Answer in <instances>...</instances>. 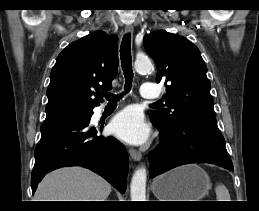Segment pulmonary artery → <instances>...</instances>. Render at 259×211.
<instances>
[{
	"instance_id": "pulmonary-artery-1",
	"label": "pulmonary artery",
	"mask_w": 259,
	"mask_h": 211,
	"mask_svg": "<svg viewBox=\"0 0 259 211\" xmlns=\"http://www.w3.org/2000/svg\"><path fill=\"white\" fill-rule=\"evenodd\" d=\"M141 96L145 99H157L160 92L155 84L143 83L141 86Z\"/></svg>"
}]
</instances>
